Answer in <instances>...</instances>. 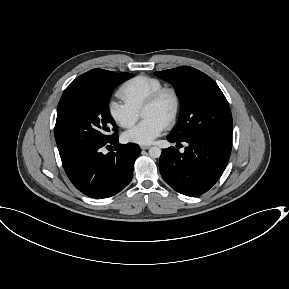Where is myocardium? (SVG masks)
Segmentation results:
<instances>
[{"instance_id":"myocardium-1","label":"myocardium","mask_w":289,"mask_h":289,"mask_svg":"<svg viewBox=\"0 0 289 289\" xmlns=\"http://www.w3.org/2000/svg\"><path fill=\"white\" fill-rule=\"evenodd\" d=\"M165 95H170L173 101L172 110L165 123L166 127H172L176 123L181 109V97L179 92L174 87L163 86L158 90H156L155 92H153L144 102L141 108V112L145 108L156 105Z\"/></svg>"}]
</instances>
